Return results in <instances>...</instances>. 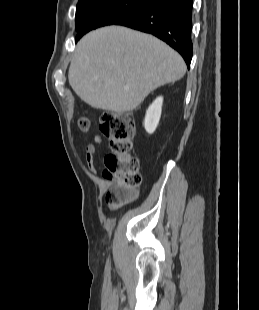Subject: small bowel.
I'll list each match as a JSON object with an SVG mask.
<instances>
[{
  "label": "small bowel",
  "instance_id": "obj_1",
  "mask_svg": "<svg viewBox=\"0 0 259 310\" xmlns=\"http://www.w3.org/2000/svg\"><path fill=\"white\" fill-rule=\"evenodd\" d=\"M103 144V139L100 136H96L94 138L93 144H88L85 148V160L87 167L90 172L95 173L96 167H95V156L97 151V146Z\"/></svg>",
  "mask_w": 259,
  "mask_h": 310
}]
</instances>
